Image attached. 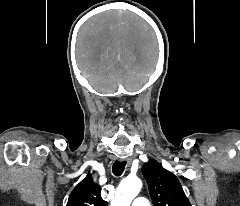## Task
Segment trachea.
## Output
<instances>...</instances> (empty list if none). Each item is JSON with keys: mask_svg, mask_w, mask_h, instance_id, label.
Instances as JSON below:
<instances>
[{"mask_svg": "<svg viewBox=\"0 0 240 206\" xmlns=\"http://www.w3.org/2000/svg\"><path fill=\"white\" fill-rule=\"evenodd\" d=\"M126 166V161H115L113 164V173L116 176L122 175Z\"/></svg>", "mask_w": 240, "mask_h": 206, "instance_id": "3493384b", "label": "trachea"}]
</instances>
